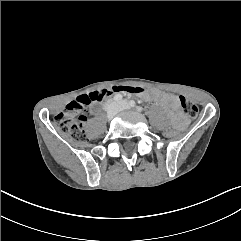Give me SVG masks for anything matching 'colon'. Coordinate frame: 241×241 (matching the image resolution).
I'll return each instance as SVG.
<instances>
[{
  "label": "colon",
  "mask_w": 241,
  "mask_h": 241,
  "mask_svg": "<svg viewBox=\"0 0 241 241\" xmlns=\"http://www.w3.org/2000/svg\"><path fill=\"white\" fill-rule=\"evenodd\" d=\"M144 91L145 90L142 87L119 86L95 91L88 95H82L75 101L69 103L66 111L58 113L55 116V119L64 133H67L76 141H84L86 139L84 130L86 122L84 110L86 106L94 101H100L115 92L142 94ZM178 101L183 113L187 117L193 119L198 116V108L195 104L190 102L184 96H178ZM159 134L165 140H171L172 138H176L178 136V131L176 129L167 131L163 129Z\"/></svg>",
  "instance_id": "1"
}]
</instances>
